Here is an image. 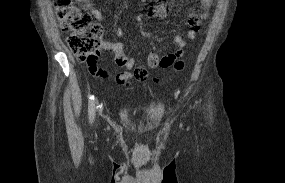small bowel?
<instances>
[{
    "label": "small bowel",
    "instance_id": "c3829d8e",
    "mask_svg": "<svg viewBox=\"0 0 285 183\" xmlns=\"http://www.w3.org/2000/svg\"><path fill=\"white\" fill-rule=\"evenodd\" d=\"M77 2L82 6L83 9L87 10L95 19L102 21L103 16L99 9H97L91 0H77ZM202 12L201 13H192L188 17L189 29L187 32V38L191 41V44L195 41L200 33V24L202 21L206 20L209 16L210 9L213 3V0H199ZM167 9L165 4L157 3L153 5L148 13V18H164L166 16ZM117 36L123 35V29L118 28L116 30ZM175 50L170 52L162 57L157 53L151 52L146 60L145 65L137 66L134 72L123 71L119 72L114 76L115 82L124 87L128 88L131 85V80L135 77V72L137 70L143 73V79L138 81H145L148 77V70L158 69V68H168L172 66L178 59L182 58L185 54V48L188 46L186 38L182 35H177L174 38ZM102 50L104 52L110 53L114 56L115 62L117 65L131 70L135 67V59L133 56L129 55L125 51L124 42H110L103 41ZM88 72L101 80H106L110 78V74L97 66L96 59L89 61L87 64Z\"/></svg>",
    "mask_w": 285,
    "mask_h": 183
}]
</instances>
